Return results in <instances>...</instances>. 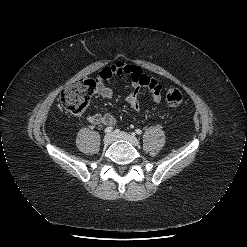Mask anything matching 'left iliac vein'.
<instances>
[{"mask_svg":"<svg viewBox=\"0 0 247 247\" xmlns=\"http://www.w3.org/2000/svg\"><path fill=\"white\" fill-rule=\"evenodd\" d=\"M114 140H124L131 143L133 146H138L140 144L139 140L134 136L126 132H118L113 134Z\"/></svg>","mask_w":247,"mask_h":247,"instance_id":"obj_1","label":"left iliac vein"}]
</instances>
